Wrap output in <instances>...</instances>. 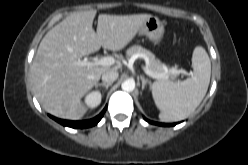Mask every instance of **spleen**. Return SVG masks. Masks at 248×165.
I'll list each match as a JSON object with an SVG mask.
<instances>
[{"label": "spleen", "mask_w": 248, "mask_h": 165, "mask_svg": "<svg viewBox=\"0 0 248 165\" xmlns=\"http://www.w3.org/2000/svg\"><path fill=\"white\" fill-rule=\"evenodd\" d=\"M193 74L181 82L158 80L151 85L152 95L160 110L162 122H175L188 117L206 95L211 76V62L206 50L195 47L192 55Z\"/></svg>", "instance_id": "obj_1"}]
</instances>
